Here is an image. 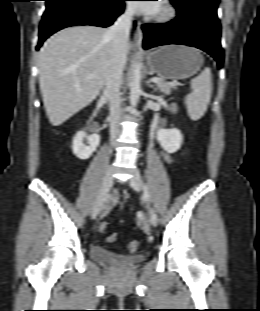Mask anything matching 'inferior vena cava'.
I'll return each instance as SVG.
<instances>
[{
	"label": "inferior vena cava",
	"instance_id": "inferior-vena-cava-1",
	"mask_svg": "<svg viewBox=\"0 0 260 311\" xmlns=\"http://www.w3.org/2000/svg\"><path fill=\"white\" fill-rule=\"evenodd\" d=\"M133 14V9H126L106 33V36L112 40V50L109 71L105 80L106 87L103 94L108 99L110 106L109 118L112 144H114L119 134V119L121 115L120 87L122 84L123 69L126 63L125 48L129 39Z\"/></svg>",
	"mask_w": 260,
	"mask_h": 311
}]
</instances>
